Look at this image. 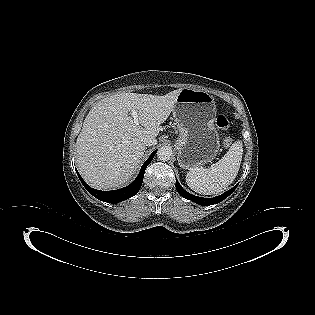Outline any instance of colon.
<instances>
[{
  "label": "colon",
  "instance_id": "5ec220e1",
  "mask_svg": "<svg viewBox=\"0 0 315 315\" xmlns=\"http://www.w3.org/2000/svg\"><path fill=\"white\" fill-rule=\"evenodd\" d=\"M215 124L220 130H227L230 126L229 120L224 115H218L215 120ZM221 144L223 147L228 148L232 144V140L228 137L222 139Z\"/></svg>",
  "mask_w": 315,
  "mask_h": 315
}]
</instances>
